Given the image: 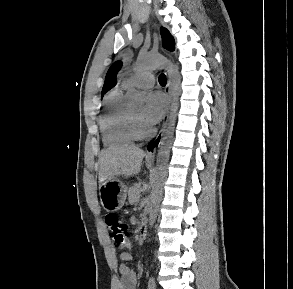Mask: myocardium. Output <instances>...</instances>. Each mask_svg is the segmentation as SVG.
I'll list each match as a JSON object with an SVG mask.
<instances>
[{"label":"myocardium","mask_w":293,"mask_h":289,"mask_svg":"<svg viewBox=\"0 0 293 289\" xmlns=\"http://www.w3.org/2000/svg\"><path fill=\"white\" fill-rule=\"evenodd\" d=\"M129 121L131 134L134 140H145L153 136L154 130L152 128H142L131 112L129 113Z\"/></svg>","instance_id":"f54148a6"}]
</instances>
